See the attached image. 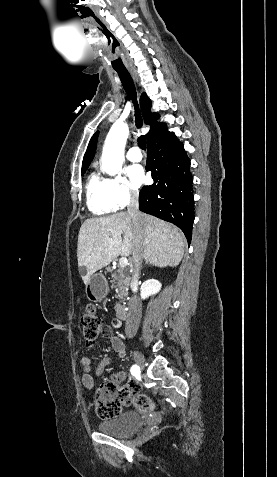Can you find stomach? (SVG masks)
Masks as SVG:
<instances>
[{
    "mask_svg": "<svg viewBox=\"0 0 277 477\" xmlns=\"http://www.w3.org/2000/svg\"><path fill=\"white\" fill-rule=\"evenodd\" d=\"M109 287L105 276L101 273L93 274L86 284L85 294L90 302H100L108 294Z\"/></svg>",
    "mask_w": 277,
    "mask_h": 477,
    "instance_id": "1",
    "label": "stomach"
}]
</instances>
